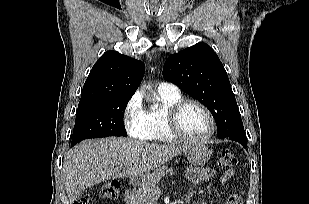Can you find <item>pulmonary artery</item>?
<instances>
[{
    "instance_id": "pulmonary-artery-1",
    "label": "pulmonary artery",
    "mask_w": 309,
    "mask_h": 204,
    "mask_svg": "<svg viewBox=\"0 0 309 204\" xmlns=\"http://www.w3.org/2000/svg\"><path fill=\"white\" fill-rule=\"evenodd\" d=\"M158 92L165 94H177L179 93V89L176 85L169 82H160L158 84Z\"/></svg>"
}]
</instances>
